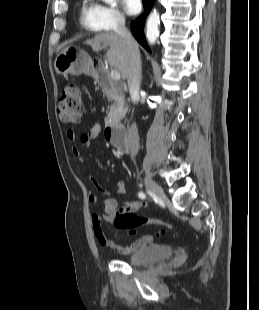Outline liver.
Wrapping results in <instances>:
<instances>
[{
	"instance_id": "6515ba94",
	"label": "liver",
	"mask_w": 259,
	"mask_h": 310,
	"mask_svg": "<svg viewBox=\"0 0 259 310\" xmlns=\"http://www.w3.org/2000/svg\"><path fill=\"white\" fill-rule=\"evenodd\" d=\"M85 44L90 45L94 51L109 48L106 53L107 63L118 69L122 79H128L129 52L121 37L114 32L101 33L89 39Z\"/></svg>"
}]
</instances>
